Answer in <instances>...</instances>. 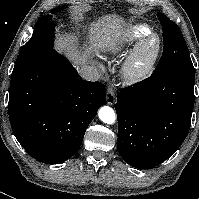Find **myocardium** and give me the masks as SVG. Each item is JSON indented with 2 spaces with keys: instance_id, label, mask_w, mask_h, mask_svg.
I'll list each match as a JSON object with an SVG mask.
<instances>
[{
  "instance_id": "myocardium-1",
  "label": "myocardium",
  "mask_w": 199,
  "mask_h": 199,
  "mask_svg": "<svg viewBox=\"0 0 199 199\" xmlns=\"http://www.w3.org/2000/svg\"><path fill=\"white\" fill-rule=\"evenodd\" d=\"M162 48L160 36L151 32L133 48L123 64V74L131 81L147 77L153 70Z\"/></svg>"
}]
</instances>
